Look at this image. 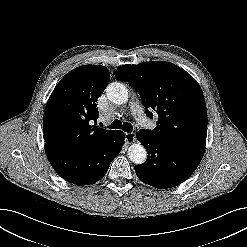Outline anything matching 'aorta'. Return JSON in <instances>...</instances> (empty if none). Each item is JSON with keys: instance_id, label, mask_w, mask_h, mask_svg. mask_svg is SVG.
I'll return each instance as SVG.
<instances>
[{"instance_id": "1", "label": "aorta", "mask_w": 247, "mask_h": 247, "mask_svg": "<svg viewBox=\"0 0 247 247\" xmlns=\"http://www.w3.org/2000/svg\"><path fill=\"white\" fill-rule=\"evenodd\" d=\"M108 99L114 104H124L128 101V89L119 82L111 83L106 88ZM129 159L135 164H142L146 161L147 152L140 143L132 144L128 149Z\"/></svg>"}]
</instances>
